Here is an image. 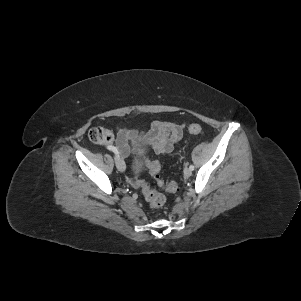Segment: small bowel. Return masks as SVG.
<instances>
[{
	"label": "small bowel",
	"mask_w": 301,
	"mask_h": 301,
	"mask_svg": "<svg viewBox=\"0 0 301 301\" xmlns=\"http://www.w3.org/2000/svg\"><path fill=\"white\" fill-rule=\"evenodd\" d=\"M184 124L168 121H156L146 132L121 128L117 134L115 147L123 157L132 152V143L137 140L146 141L157 154L171 153L175 145L182 139Z\"/></svg>",
	"instance_id": "small-bowel-1"
}]
</instances>
